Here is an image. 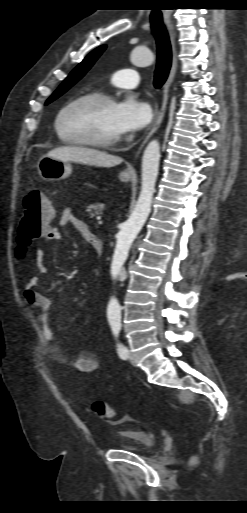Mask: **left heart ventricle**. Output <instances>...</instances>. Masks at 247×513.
Instances as JSON below:
<instances>
[{
  "label": "left heart ventricle",
  "instance_id": "left-heart-ventricle-1",
  "mask_svg": "<svg viewBox=\"0 0 247 513\" xmlns=\"http://www.w3.org/2000/svg\"><path fill=\"white\" fill-rule=\"evenodd\" d=\"M115 103H79L61 120V130L68 138L110 140L120 137L115 123Z\"/></svg>",
  "mask_w": 247,
  "mask_h": 513
}]
</instances>
